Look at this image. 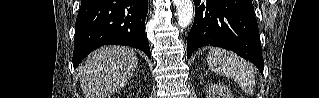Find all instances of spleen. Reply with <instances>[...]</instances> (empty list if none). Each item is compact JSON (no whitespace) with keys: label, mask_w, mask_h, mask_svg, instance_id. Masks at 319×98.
<instances>
[{"label":"spleen","mask_w":319,"mask_h":98,"mask_svg":"<svg viewBox=\"0 0 319 98\" xmlns=\"http://www.w3.org/2000/svg\"><path fill=\"white\" fill-rule=\"evenodd\" d=\"M207 63L212 71L232 78L245 92H253L254 69L233 52L219 48L211 49L207 55Z\"/></svg>","instance_id":"obj_1"}]
</instances>
